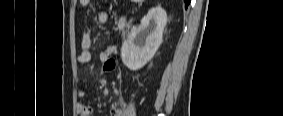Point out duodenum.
<instances>
[{
  "instance_id": "1",
  "label": "duodenum",
  "mask_w": 283,
  "mask_h": 116,
  "mask_svg": "<svg viewBox=\"0 0 283 116\" xmlns=\"http://www.w3.org/2000/svg\"><path fill=\"white\" fill-rule=\"evenodd\" d=\"M126 28V19L124 17H122L120 20H119V23H118V29L120 31H124Z\"/></svg>"
}]
</instances>
